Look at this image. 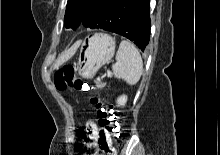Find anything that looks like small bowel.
Masks as SVG:
<instances>
[{
	"label": "small bowel",
	"instance_id": "c3829d8e",
	"mask_svg": "<svg viewBox=\"0 0 220 155\" xmlns=\"http://www.w3.org/2000/svg\"><path fill=\"white\" fill-rule=\"evenodd\" d=\"M98 133H99V129H98L97 125L94 122L89 121L85 127V139L87 141L86 142L87 146H89L93 143V141L96 139Z\"/></svg>",
	"mask_w": 220,
	"mask_h": 155
}]
</instances>
